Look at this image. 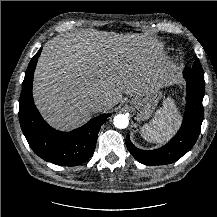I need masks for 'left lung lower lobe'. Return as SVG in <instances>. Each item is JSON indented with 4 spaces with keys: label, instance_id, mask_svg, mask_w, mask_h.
Listing matches in <instances>:
<instances>
[{
    "label": "left lung lower lobe",
    "instance_id": "left-lung-lower-lobe-1",
    "mask_svg": "<svg viewBox=\"0 0 217 217\" xmlns=\"http://www.w3.org/2000/svg\"><path fill=\"white\" fill-rule=\"evenodd\" d=\"M187 82V104L182 126L178 133L165 146L150 151L136 148L126 137V145L133 157L145 165L170 164L185 155L195 144L203 121V97L205 82L197 79L189 67L183 71Z\"/></svg>",
    "mask_w": 217,
    "mask_h": 217
}]
</instances>
